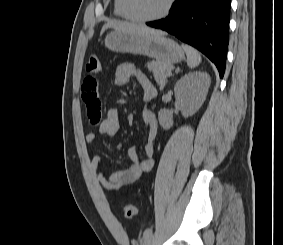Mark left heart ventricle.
Wrapping results in <instances>:
<instances>
[{"mask_svg": "<svg viewBox=\"0 0 283 245\" xmlns=\"http://www.w3.org/2000/svg\"><path fill=\"white\" fill-rule=\"evenodd\" d=\"M133 12L142 17H151L159 14L167 0H130Z\"/></svg>", "mask_w": 283, "mask_h": 245, "instance_id": "obj_1", "label": "left heart ventricle"}]
</instances>
